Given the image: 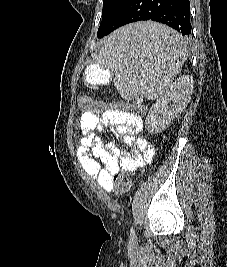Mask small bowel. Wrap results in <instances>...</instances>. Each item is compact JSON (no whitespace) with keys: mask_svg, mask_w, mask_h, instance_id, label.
Instances as JSON below:
<instances>
[{"mask_svg":"<svg viewBox=\"0 0 227 267\" xmlns=\"http://www.w3.org/2000/svg\"><path fill=\"white\" fill-rule=\"evenodd\" d=\"M107 128L123 135L121 146L103 141L99 134ZM142 129L141 116L122 113L121 109H109L102 115L86 111L77 119V159L85 173L94 178L103 190H113L112 173H118L119 169H130L133 172L154 159L153 145L139 135Z\"/></svg>","mask_w":227,"mask_h":267,"instance_id":"1","label":"small bowel"}]
</instances>
